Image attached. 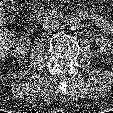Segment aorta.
Segmentation results:
<instances>
[{
  "label": "aorta",
  "instance_id": "aorta-1",
  "mask_svg": "<svg viewBox=\"0 0 113 113\" xmlns=\"http://www.w3.org/2000/svg\"><path fill=\"white\" fill-rule=\"evenodd\" d=\"M66 25L70 30H78L81 27V20L77 16H70L67 21Z\"/></svg>",
  "mask_w": 113,
  "mask_h": 113
}]
</instances>
